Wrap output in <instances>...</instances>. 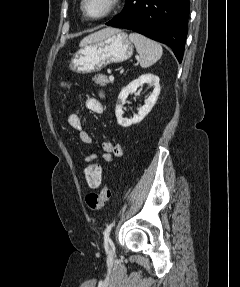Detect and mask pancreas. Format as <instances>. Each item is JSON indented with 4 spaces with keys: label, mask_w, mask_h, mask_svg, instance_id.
I'll return each instance as SVG.
<instances>
[{
    "label": "pancreas",
    "mask_w": 240,
    "mask_h": 287,
    "mask_svg": "<svg viewBox=\"0 0 240 287\" xmlns=\"http://www.w3.org/2000/svg\"><path fill=\"white\" fill-rule=\"evenodd\" d=\"M93 81L96 83V84H99L101 86H105L107 84H109L111 82L110 79H108L107 76L105 75H95L94 78H93Z\"/></svg>",
    "instance_id": "1"
}]
</instances>
